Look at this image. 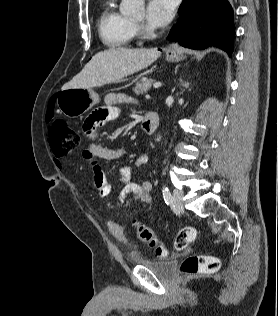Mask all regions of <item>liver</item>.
Listing matches in <instances>:
<instances>
[{
	"mask_svg": "<svg viewBox=\"0 0 278 316\" xmlns=\"http://www.w3.org/2000/svg\"><path fill=\"white\" fill-rule=\"evenodd\" d=\"M161 52L157 49H109L97 53L82 71L66 83L69 88H92L116 82L151 65Z\"/></svg>",
	"mask_w": 278,
	"mask_h": 316,
	"instance_id": "liver-1",
	"label": "liver"
}]
</instances>
